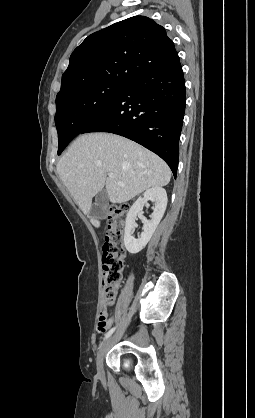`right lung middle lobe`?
<instances>
[{
    "label": "right lung middle lobe",
    "mask_w": 255,
    "mask_h": 418,
    "mask_svg": "<svg viewBox=\"0 0 255 418\" xmlns=\"http://www.w3.org/2000/svg\"><path fill=\"white\" fill-rule=\"evenodd\" d=\"M127 85L102 81L79 86L57 95L55 125L58 132V155Z\"/></svg>",
    "instance_id": "1"
}]
</instances>
